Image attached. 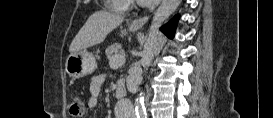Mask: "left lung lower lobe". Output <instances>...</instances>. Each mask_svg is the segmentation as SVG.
Listing matches in <instances>:
<instances>
[{
	"label": "left lung lower lobe",
	"mask_w": 273,
	"mask_h": 118,
	"mask_svg": "<svg viewBox=\"0 0 273 118\" xmlns=\"http://www.w3.org/2000/svg\"><path fill=\"white\" fill-rule=\"evenodd\" d=\"M178 19H179V16L176 15L170 22H168L167 24L161 27V31L164 32L167 35V37L169 38L174 37Z\"/></svg>",
	"instance_id": "left-lung-lower-lobe-1"
}]
</instances>
